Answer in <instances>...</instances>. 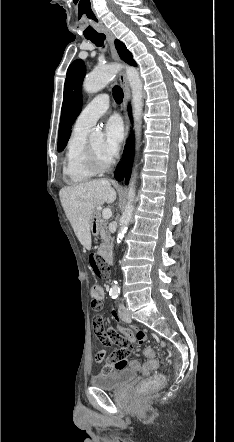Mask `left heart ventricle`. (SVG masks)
Wrapping results in <instances>:
<instances>
[{"mask_svg": "<svg viewBox=\"0 0 234 442\" xmlns=\"http://www.w3.org/2000/svg\"><path fill=\"white\" fill-rule=\"evenodd\" d=\"M91 146L101 161L105 162V161L109 160V158L107 157V155L105 154V151H104V141L103 140L94 141L91 143Z\"/></svg>", "mask_w": 234, "mask_h": 442, "instance_id": "left-heart-ventricle-1", "label": "left heart ventricle"}]
</instances>
